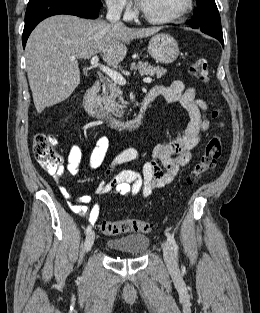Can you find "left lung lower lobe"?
I'll return each instance as SVG.
<instances>
[{
  "mask_svg": "<svg viewBox=\"0 0 260 313\" xmlns=\"http://www.w3.org/2000/svg\"><path fill=\"white\" fill-rule=\"evenodd\" d=\"M192 28H193V27H192ZM209 35L215 37L216 39H218V40L220 41V43H221L222 45H224V42H223V35H222V36L216 35V34H209Z\"/></svg>",
  "mask_w": 260,
  "mask_h": 313,
  "instance_id": "0a47b994",
  "label": "left lung lower lobe"
}]
</instances>
